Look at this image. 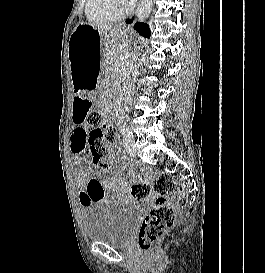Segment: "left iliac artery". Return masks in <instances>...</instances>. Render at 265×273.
Here are the masks:
<instances>
[{"mask_svg":"<svg viewBox=\"0 0 265 273\" xmlns=\"http://www.w3.org/2000/svg\"><path fill=\"white\" fill-rule=\"evenodd\" d=\"M122 134L127 138H132L133 134L127 128L123 127L121 130Z\"/></svg>","mask_w":265,"mask_h":273,"instance_id":"1","label":"left iliac artery"}]
</instances>
